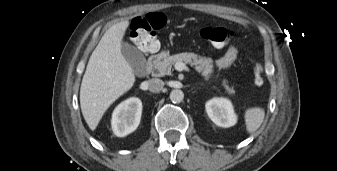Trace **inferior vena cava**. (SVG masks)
<instances>
[{"mask_svg": "<svg viewBox=\"0 0 337 171\" xmlns=\"http://www.w3.org/2000/svg\"><path fill=\"white\" fill-rule=\"evenodd\" d=\"M163 87L164 82L161 79L153 78L148 81V89L153 93L160 92Z\"/></svg>", "mask_w": 337, "mask_h": 171, "instance_id": "1", "label": "inferior vena cava"}]
</instances>
